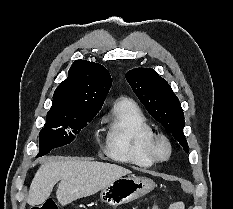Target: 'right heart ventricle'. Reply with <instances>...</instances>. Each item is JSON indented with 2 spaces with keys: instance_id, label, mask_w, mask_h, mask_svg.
<instances>
[{
  "instance_id": "1",
  "label": "right heart ventricle",
  "mask_w": 233,
  "mask_h": 209,
  "mask_svg": "<svg viewBox=\"0 0 233 209\" xmlns=\"http://www.w3.org/2000/svg\"><path fill=\"white\" fill-rule=\"evenodd\" d=\"M108 124L106 153L113 159L150 167L157 160L151 153L153 128L131 99H117L105 118Z\"/></svg>"
}]
</instances>
